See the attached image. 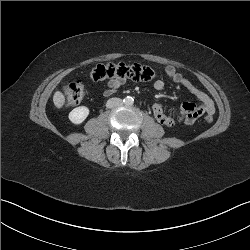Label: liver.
<instances>
[{
    "mask_svg": "<svg viewBox=\"0 0 250 250\" xmlns=\"http://www.w3.org/2000/svg\"><path fill=\"white\" fill-rule=\"evenodd\" d=\"M53 103L57 108H62L65 104V96L61 91H56L53 95Z\"/></svg>",
    "mask_w": 250,
    "mask_h": 250,
    "instance_id": "obj_1",
    "label": "liver"
}]
</instances>
